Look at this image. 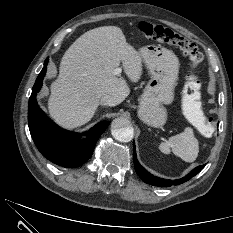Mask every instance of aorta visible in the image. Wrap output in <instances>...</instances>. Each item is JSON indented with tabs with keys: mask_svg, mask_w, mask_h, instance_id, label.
Masks as SVG:
<instances>
[{
	"mask_svg": "<svg viewBox=\"0 0 233 233\" xmlns=\"http://www.w3.org/2000/svg\"><path fill=\"white\" fill-rule=\"evenodd\" d=\"M112 136L120 142H129L134 135V129L130 126L128 119L124 117L115 118L111 124Z\"/></svg>",
	"mask_w": 233,
	"mask_h": 233,
	"instance_id": "762f6f07",
	"label": "aorta"
}]
</instances>
